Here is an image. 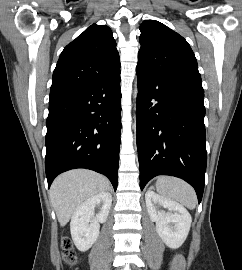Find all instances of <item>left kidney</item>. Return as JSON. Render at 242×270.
I'll list each match as a JSON object with an SVG mask.
<instances>
[{"label": "left kidney", "mask_w": 242, "mask_h": 270, "mask_svg": "<svg viewBox=\"0 0 242 270\" xmlns=\"http://www.w3.org/2000/svg\"><path fill=\"white\" fill-rule=\"evenodd\" d=\"M145 201L150 219L156 223L159 237L168 247L179 248L186 240L192 222L187 209L151 190L146 192ZM161 207L169 212H165Z\"/></svg>", "instance_id": "obj_1"}]
</instances>
